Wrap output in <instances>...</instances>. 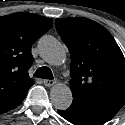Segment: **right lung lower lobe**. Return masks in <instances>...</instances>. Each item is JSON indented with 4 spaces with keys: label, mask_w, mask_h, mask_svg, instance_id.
I'll return each mask as SVG.
<instances>
[{
    "label": "right lung lower lobe",
    "mask_w": 125,
    "mask_h": 125,
    "mask_svg": "<svg viewBox=\"0 0 125 125\" xmlns=\"http://www.w3.org/2000/svg\"><path fill=\"white\" fill-rule=\"evenodd\" d=\"M26 94L13 96L6 100L0 101V114L5 113L19 106L26 97Z\"/></svg>",
    "instance_id": "right-lung-lower-lobe-1"
}]
</instances>
